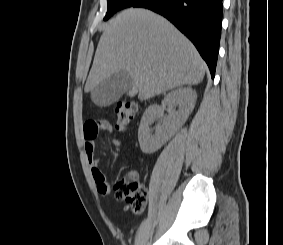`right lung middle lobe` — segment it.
I'll list each match as a JSON object with an SVG mask.
<instances>
[{
    "instance_id": "1",
    "label": "right lung middle lobe",
    "mask_w": 283,
    "mask_h": 245,
    "mask_svg": "<svg viewBox=\"0 0 283 245\" xmlns=\"http://www.w3.org/2000/svg\"><path fill=\"white\" fill-rule=\"evenodd\" d=\"M139 0H107L108 2V9L106 16L104 17V20L109 19L114 13L117 11L131 7L135 3H137Z\"/></svg>"
}]
</instances>
